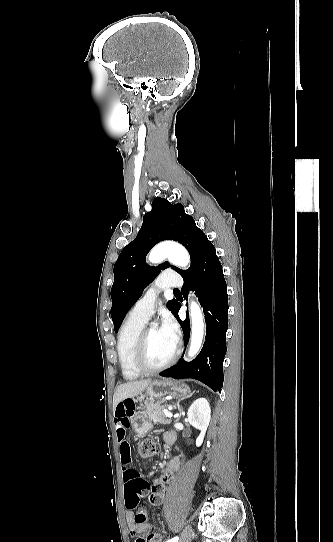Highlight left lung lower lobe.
I'll return each instance as SVG.
<instances>
[{"label": "left lung lower lobe", "instance_id": "left-lung-lower-lobe-1", "mask_svg": "<svg viewBox=\"0 0 333 542\" xmlns=\"http://www.w3.org/2000/svg\"><path fill=\"white\" fill-rule=\"evenodd\" d=\"M183 279L182 294L185 299L189 290H193L203 307L206 338L201 352L193 361L185 362L181 358L175 366L160 375L175 379H197L215 392H220L224 380L223 360L227 351L225 337L228 328V295L222 266L210 241L203 246L196 266ZM180 307L177 301L174 316L183 329L186 346L190 336L189 315L181 321L178 317Z\"/></svg>", "mask_w": 333, "mask_h": 542}]
</instances>
